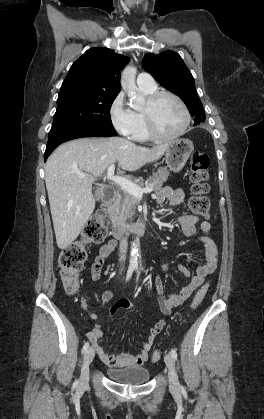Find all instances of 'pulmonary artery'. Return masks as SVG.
I'll return each mask as SVG.
<instances>
[{
    "label": "pulmonary artery",
    "instance_id": "pulmonary-artery-1",
    "mask_svg": "<svg viewBox=\"0 0 264 419\" xmlns=\"http://www.w3.org/2000/svg\"><path fill=\"white\" fill-rule=\"evenodd\" d=\"M136 82L139 88L152 89L156 87L153 77L148 73H140Z\"/></svg>",
    "mask_w": 264,
    "mask_h": 419
}]
</instances>
